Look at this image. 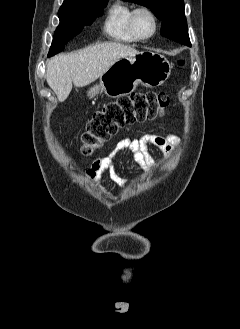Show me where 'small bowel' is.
Segmentation results:
<instances>
[{
    "label": "small bowel",
    "mask_w": 240,
    "mask_h": 329,
    "mask_svg": "<svg viewBox=\"0 0 240 329\" xmlns=\"http://www.w3.org/2000/svg\"><path fill=\"white\" fill-rule=\"evenodd\" d=\"M179 143L178 136L169 134L160 136L144 134L140 138L125 137L120 139L113 150L106 156L97 159L86 172V179L99 184L102 176L106 174L111 182L117 185H126L127 182L117 173L115 162L118 154L127 151L133 160L145 171H150L154 162L149 155V145L157 147L166 157H171Z\"/></svg>",
    "instance_id": "small-bowel-1"
}]
</instances>
